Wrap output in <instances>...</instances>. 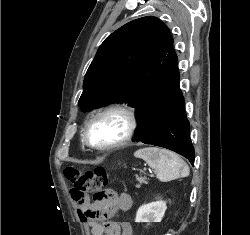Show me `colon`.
I'll return each mask as SVG.
<instances>
[{
	"mask_svg": "<svg viewBox=\"0 0 250 235\" xmlns=\"http://www.w3.org/2000/svg\"><path fill=\"white\" fill-rule=\"evenodd\" d=\"M65 177L71 184V194L74 201L81 205L86 201L87 194H92L95 203L106 198L105 190L108 184V175L104 168L82 171L69 166L65 169ZM94 216V214H91Z\"/></svg>",
	"mask_w": 250,
	"mask_h": 235,
	"instance_id": "obj_1",
	"label": "colon"
}]
</instances>
